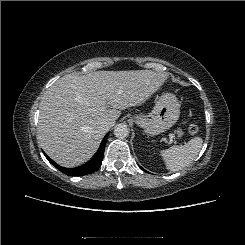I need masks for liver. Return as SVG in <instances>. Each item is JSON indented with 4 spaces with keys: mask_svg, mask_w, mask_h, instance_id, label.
Here are the masks:
<instances>
[{
    "mask_svg": "<svg viewBox=\"0 0 245 245\" xmlns=\"http://www.w3.org/2000/svg\"><path fill=\"white\" fill-rule=\"evenodd\" d=\"M167 78V73L151 70L64 75L40 102L38 139L43 150L64 167L87 162L106 133L101 123L143 104Z\"/></svg>",
    "mask_w": 245,
    "mask_h": 245,
    "instance_id": "6515ba94",
    "label": "liver"
}]
</instances>
